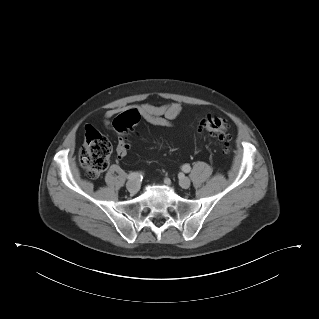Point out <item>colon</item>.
<instances>
[{
    "label": "colon",
    "instance_id": "obj_1",
    "mask_svg": "<svg viewBox=\"0 0 319 319\" xmlns=\"http://www.w3.org/2000/svg\"><path fill=\"white\" fill-rule=\"evenodd\" d=\"M140 118V113L136 109L117 116L113 121V127L120 134L119 138L126 139L127 134L140 122ZM199 128L225 145L230 140L227 122L216 115H205L200 121ZM225 150L228 151V148ZM111 151V144L104 135L93 128L87 129L79 158L90 177L99 178L102 175L108 166Z\"/></svg>",
    "mask_w": 319,
    "mask_h": 319
}]
</instances>
